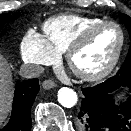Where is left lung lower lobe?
Segmentation results:
<instances>
[{
    "label": "left lung lower lobe",
    "instance_id": "1",
    "mask_svg": "<svg viewBox=\"0 0 131 131\" xmlns=\"http://www.w3.org/2000/svg\"><path fill=\"white\" fill-rule=\"evenodd\" d=\"M120 91L125 96L117 99ZM82 93L84 98L75 119L78 131H131V70L82 88Z\"/></svg>",
    "mask_w": 131,
    "mask_h": 131
}]
</instances>
